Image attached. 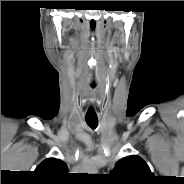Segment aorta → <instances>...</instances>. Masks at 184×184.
<instances>
[{
  "mask_svg": "<svg viewBox=\"0 0 184 184\" xmlns=\"http://www.w3.org/2000/svg\"><path fill=\"white\" fill-rule=\"evenodd\" d=\"M97 170L95 168L91 169L90 172H96Z\"/></svg>",
  "mask_w": 184,
  "mask_h": 184,
  "instance_id": "1",
  "label": "aorta"
}]
</instances>
